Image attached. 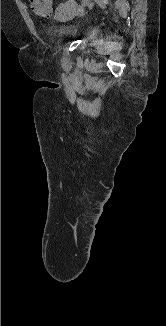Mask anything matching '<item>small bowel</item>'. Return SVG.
<instances>
[{"instance_id": "c3829d8e", "label": "small bowel", "mask_w": 166, "mask_h": 326, "mask_svg": "<svg viewBox=\"0 0 166 326\" xmlns=\"http://www.w3.org/2000/svg\"><path fill=\"white\" fill-rule=\"evenodd\" d=\"M31 11L40 17H49L52 12V0H29Z\"/></svg>"}]
</instances>
